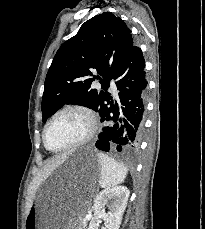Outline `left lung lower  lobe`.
Here are the masks:
<instances>
[{
    "instance_id": "0a47b994",
    "label": "left lung lower lobe",
    "mask_w": 205,
    "mask_h": 229,
    "mask_svg": "<svg viewBox=\"0 0 205 229\" xmlns=\"http://www.w3.org/2000/svg\"><path fill=\"white\" fill-rule=\"evenodd\" d=\"M113 79H117L119 101L113 103L109 97V106L100 114L101 122L105 124L96 147L106 152L117 150L126 157H133L139 150L143 133L147 91L145 61L139 47L132 46Z\"/></svg>"
}]
</instances>
